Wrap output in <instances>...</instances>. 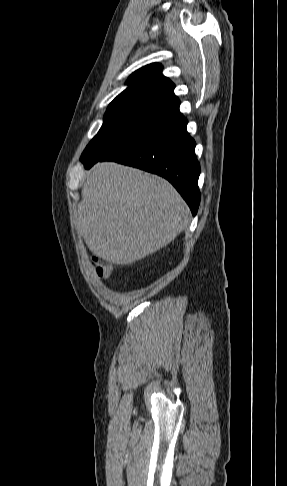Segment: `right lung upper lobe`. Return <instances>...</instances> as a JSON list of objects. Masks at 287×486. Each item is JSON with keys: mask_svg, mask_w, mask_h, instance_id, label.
Listing matches in <instances>:
<instances>
[{"mask_svg": "<svg viewBox=\"0 0 287 486\" xmlns=\"http://www.w3.org/2000/svg\"><path fill=\"white\" fill-rule=\"evenodd\" d=\"M162 65L152 63L135 71L127 80L128 87L109 106H151L172 113L179 111L180 101L175 85L162 75Z\"/></svg>", "mask_w": 287, "mask_h": 486, "instance_id": "right-lung-upper-lobe-1", "label": "right lung upper lobe"}]
</instances>
